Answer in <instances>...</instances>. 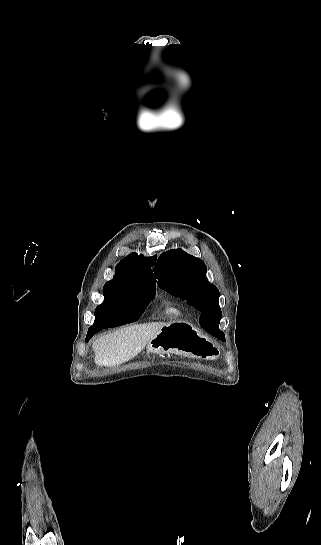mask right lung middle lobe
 I'll use <instances>...</instances> for the list:
<instances>
[{
    "label": "right lung middle lobe",
    "mask_w": 321,
    "mask_h": 545,
    "mask_svg": "<svg viewBox=\"0 0 321 545\" xmlns=\"http://www.w3.org/2000/svg\"><path fill=\"white\" fill-rule=\"evenodd\" d=\"M155 290L156 288H142L137 290H130L118 287H108L105 285L103 288L104 302L101 305L104 306L114 301H121L126 299L138 300L140 303V313L139 317L136 319L137 321L140 318V315H142V313L146 309L151 299L154 297ZM94 323H101V320L98 317V313L96 312Z\"/></svg>",
    "instance_id": "obj_1"
}]
</instances>
